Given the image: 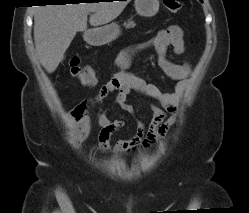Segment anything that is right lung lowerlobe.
Segmentation results:
<instances>
[{"label": "right lung lower lobe", "instance_id": "98d812e1", "mask_svg": "<svg viewBox=\"0 0 249 213\" xmlns=\"http://www.w3.org/2000/svg\"><path fill=\"white\" fill-rule=\"evenodd\" d=\"M65 1H66V0H47V2L58 3V5H59V3H60V4L66 3ZM109 1H110V0H109Z\"/></svg>", "mask_w": 249, "mask_h": 213}]
</instances>
